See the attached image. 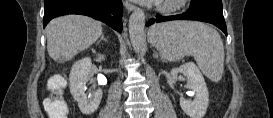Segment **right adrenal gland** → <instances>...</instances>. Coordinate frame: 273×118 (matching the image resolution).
Returning <instances> with one entry per match:
<instances>
[{
  "label": "right adrenal gland",
  "instance_id": "right-adrenal-gland-1",
  "mask_svg": "<svg viewBox=\"0 0 273 118\" xmlns=\"http://www.w3.org/2000/svg\"><path fill=\"white\" fill-rule=\"evenodd\" d=\"M102 40H104L105 42L107 41V40L104 38V33H102L101 38H100V40L97 42V44H99Z\"/></svg>",
  "mask_w": 273,
  "mask_h": 118
}]
</instances>
